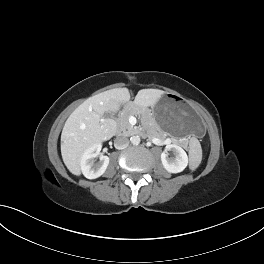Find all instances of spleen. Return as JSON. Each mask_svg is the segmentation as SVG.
I'll use <instances>...</instances> for the list:
<instances>
[{
    "mask_svg": "<svg viewBox=\"0 0 264 264\" xmlns=\"http://www.w3.org/2000/svg\"><path fill=\"white\" fill-rule=\"evenodd\" d=\"M202 150L197 139H193V149L191 151V169H196L201 163Z\"/></svg>",
    "mask_w": 264,
    "mask_h": 264,
    "instance_id": "3e777b00",
    "label": "spleen"
}]
</instances>
